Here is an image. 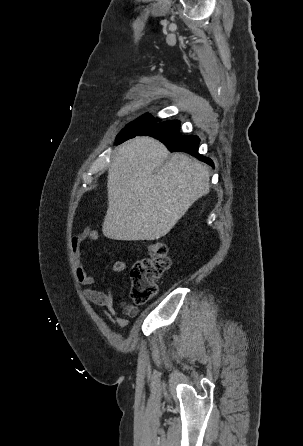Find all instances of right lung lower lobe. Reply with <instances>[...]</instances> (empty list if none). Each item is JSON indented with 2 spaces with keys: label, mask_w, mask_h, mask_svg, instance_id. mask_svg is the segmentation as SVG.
I'll return each instance as SVG.
<instances>
[{
  "label": "right lung lower lobe",
  "mask_w": 303,
  "mask_h": 446,
  "mask_svg": "<svg viewBox=\"0 0 303 446\" xmlns=\"http://www.w3.org/2000/svg\"><path fill=\"white\" fill-rule=\"evenodd\" d=\"M180 122L178 120L159 122L151 126L139 136L147 135L160 140L171 152H186L203 162L214 166L210 158L198 153L200 139L194 135L183 136L179 132Z\"/></svg>",
  "instance_id": "98d812e1"
}]
</instances>
